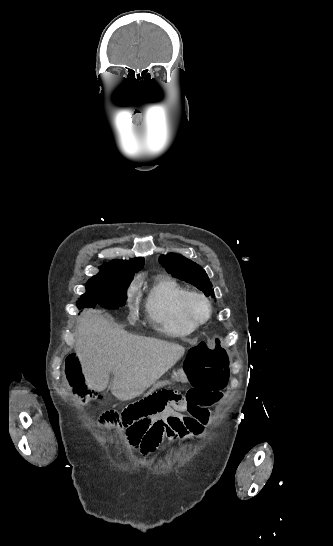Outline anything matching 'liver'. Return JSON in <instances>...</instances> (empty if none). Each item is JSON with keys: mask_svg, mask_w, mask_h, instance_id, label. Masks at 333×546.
Here are the masks:
<instances>
[{"mask_svg": "<svg viewBox=\"0 0 333 546\" xmlns=\"http://www.w3.org/2000/svg\"><path fill=\"white\" fill-rule=\"evenodd\" d=\"M75 352L88 390L101 392L114 374L112 394L121 401L142 394L184 355V347L112 327L99 311L78 319Z\"/></svg>", "mask_w": 333, "mask_h": 546, "instance_id": "1", "label": "liver"}]
</instances>
